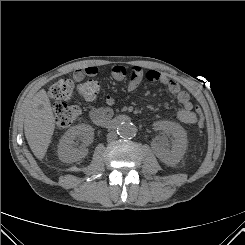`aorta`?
<instances>
[{
    "label": "aorta",
    "mask_w": 245,
    "mask_h": 245,
    "mask_svg": "<svg viewBox=\"0 0 245 245\" xmlns=\"http://www.w3.org/2000/svg\"><path fill=\"white\" fill-rule=\"evenodd\" d=\"M137 129L136 126L132 123H122L117 129V133L123 138H131L136 135Z\"/></svg>",
    "instance_id": "obj_1"
}]
</instances>
